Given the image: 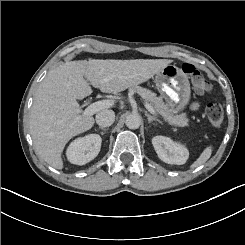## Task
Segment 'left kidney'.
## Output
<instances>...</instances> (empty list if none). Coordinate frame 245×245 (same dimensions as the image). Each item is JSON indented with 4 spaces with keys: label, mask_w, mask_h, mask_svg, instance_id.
Returning <instances> with one entry per match:
<instances>
[{
    "label": "left kidney",
    "mask_w": 245,
    "mask_h": 245,
    "mask_svg": "<svg viewBox=\"0 0 245 245\" xmlns=\"http://www.w3.org/2000/svg\"><path fill=\"white\" fill-rule=\"evenodd\" d=\"M152 144L158 157L165 163L182 165L189 157L188 149L169 137L155 136L152 138Z\"/></svg>",
    "instance_id": "obj_1"
}]
</instances>
